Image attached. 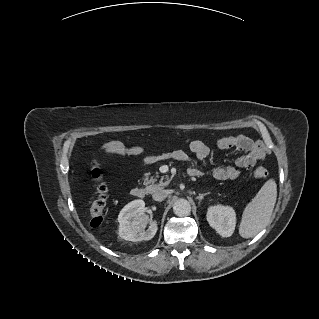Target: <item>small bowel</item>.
<instances>
[{"mask_svg": "<svg viewBox=\"0 0 319 319\" xmlns=\"http://www.w3.org/2000/svg\"><path fill=\"white\" fill-rule=\"evenodd\" d=\"M217 145L221 149L235 148L243 151L245 154L241 155L235 165L224 167H216L213 170V176L220 181L235 180L239 177L241 169L251 170L255 164L263 160L266 155L264 146L259 141L245 135H232L218 140ZM190 151L197 157L198 160H205L210 154L209 147L201 140H194L189 145ZM102 151L107 155H128L141 157L146 161H156L158 157L148 155L144 150L135 145H129L123 142L113 141L105 144ZM174 160L185 162L188 160V154L182 149H175L168 153ZM194 171L200 173L198 168H192L189 172Z\"/></svg>", "mask_w": 319, "mask_h": 319, "instance_id": "obj_1", "label": "small bowel"}]
</instances>
